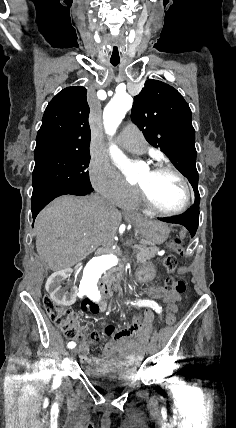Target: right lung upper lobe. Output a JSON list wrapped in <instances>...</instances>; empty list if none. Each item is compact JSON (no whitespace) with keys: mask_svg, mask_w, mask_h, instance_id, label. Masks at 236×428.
I'll use <instances>...</instances> for the list:
<instances>
[{"mask_svg":"<svg viewBox=\"0 0 236 428\" xmlns=\"http://www.w3.org/2000/svg\"><path fill=\"white\" fill-rule=\"evenodd\" d=\"M88 114L84 87H67L60 91L45 110L35 151L89 150L91 132Z\"/></svg>","mask_w":236,"mask_h":428,"instance_id":"right-lung-upper-lobe-1","label":"right lung upper lobe"}]
</instances>
